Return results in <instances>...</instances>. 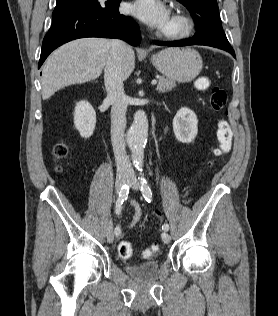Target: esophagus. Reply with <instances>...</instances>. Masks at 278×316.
Listing matches in <instances>:
<instances>
[{
	"label": "esophagus",
	"mask_w": 278,
	"mask_h": 316,
	"mask_svg": "<svg viewBox=\"0 0 278 316\" xmlns=\"http://www.w3.org/2000/svg\"><path fill=\"white\" fill-rule=\"evenodd\" d=\"M142 50H143L144 52H148V49L145 48V47H144Z\"/></svg>",
	"instance_id": "esophagus-1"
}]
</instances>
